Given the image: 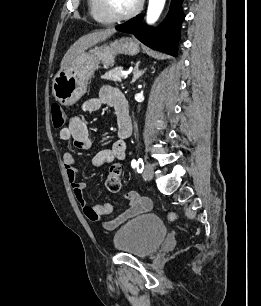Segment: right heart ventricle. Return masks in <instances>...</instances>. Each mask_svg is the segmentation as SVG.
I'll list each match as a JSON object with an SVG mask.
<instances>
[{
	"instance_id": "1",
	"label": "right heart ventricle",
	"mask_w": 261,
	"mask_h": 306,
	"mask_svg": "<svg viewBox=\"0 0 261 306\" xmlns=\"http://www.w3.org/2000/svg\"><path fill=\"white\" fill-rule=\"evenodd\" d=\"M90 16L98 23L108 24L112 20L106 16L101 8L100 0H87Z\"/></svg>"
}]
</instances>
